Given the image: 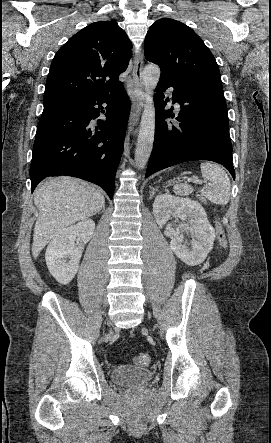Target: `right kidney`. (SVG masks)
I'll list each match as a JSON object with an SVG mask.
<instances>
[{
  "label": "right kidney",
  "mask_w": 271,
  "mask_h": 443,
  "mask_svg": "<svg viewBox=\"0 0 271 443\" xmlns=\"http://www.w3.org/2000/svg\"><path fill=\"white\" fill-rule=\"evenodd\" d=\"M94 229L93 220H82L76 225L64 227L51 239L45 253L46 263L59 283L66 285L76 275L84 243L92 237Z\"/></svg>",
  "instance_id": "1"
}]
</instances>
